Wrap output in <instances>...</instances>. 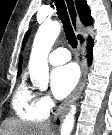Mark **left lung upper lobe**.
<instances>
[{
  "label": "left lung upper lobe",
  "mask_w": 112,
  "mask_h": 135,
  "mask_svg": "<svg viewBox=\"0 0 112 135\" xmlns=\"http://www.w3.org/2000/svg\"><path fill=\"white\" fill-rule=\"evenodd\" d=\"M28 35H29V32L26 34V36H25V40L27 39Z\"/></svg>",
  "instance_id": "5c2ea615"
}]
</instances>
